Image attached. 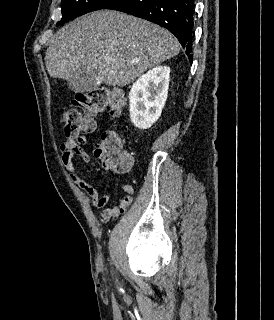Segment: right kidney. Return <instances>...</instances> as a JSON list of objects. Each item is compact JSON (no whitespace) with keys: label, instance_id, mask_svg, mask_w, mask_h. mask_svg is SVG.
<instances>
[{"label":"right kidney","instance_id":"right-kidney-1","mask_svg":"<svg viewBox=\"0 0 274 320\" xmlns=\"http://www.w3.org/2000/svg\"><path fill=\"white\" fill-rule=\"evenodd\" d=\"M170 68L157 66L134 82L129 92L130 120L135 128L149 130L161 116L167 100Z\"/></svg>","mask_w":274,"mask_h":320}]
</instances>
